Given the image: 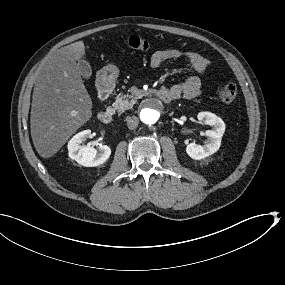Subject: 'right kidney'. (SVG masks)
Returning a JSON list of instances; mask_svg holds the SVG:
<instances>
[{
    "mask_svg": "<svg viewBox=\"0 0 285 285\" xmlns=\"http://www.w3.org/2000/svg\"><path fill=\"white\" fill-rule=\"evenodd\" d=\"M90 135V130H84L68 142L69 157L85 167L103 164L111 155V149L107 145L100 146L98 150L92 146L81 145Z\"/></svg>",
    "mask_w": 285,
    "mask_h": 285,
    "instance_id": "right-kidney-1",
    "label": "right kidney"
}]
</instances>
